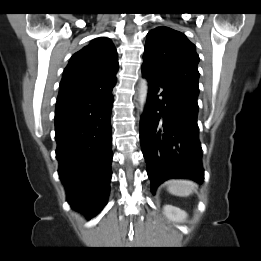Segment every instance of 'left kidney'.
Returning a JSON list of instances; mask_svg holds the SVG:
<instances>
[{"label":"left kidney","instance_id":"left-kidney-1","mask_svg":"<svg viewBox=\"0 0 261 261\" xmlns=\"http://www.w3.org/2000/svg\"><path fill=\"white\" fill-rule=\"evenodd\" d=\"M163 210L165 216L173 222H184L188 217L185 211L172 205H165Z\"/></svg>","mask_w":261,"mask_h":261}]
</instances>
